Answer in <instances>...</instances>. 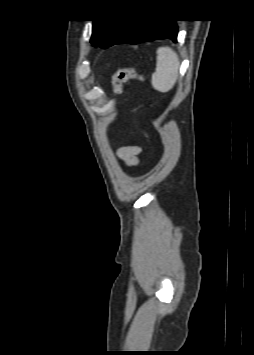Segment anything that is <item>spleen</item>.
Listing matches in <instances>:
<instances>
[{
	"label": "spleen",
	"instance_id": "1",
	"mask_svg": "<svg viewBox=\"0 0 254 355\" xmlns=\"http://www.w3.org/2000/svg\"><path fill=\"white\" fill-rule=\"evenodd\" d=\"M179 57L170 47L157 49L156 70L152 74V86L155 90L166 93L170 91L178 78Z\"/></svg>",
	"mask_w": 254,
	"mask_h": 355
}]
</instances>
